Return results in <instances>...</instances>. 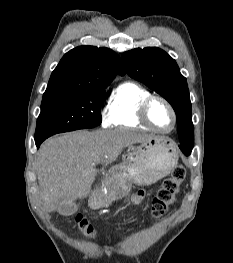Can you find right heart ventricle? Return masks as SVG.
I'll use <instances>...</instances> for the list:
<instances>
[{"label": "right heart ventricle", "mask_w": 233, "mask_h": 263, "mask_svg": "<svg viewBox=\"0 0 233 263\" xmlns=\"http://www.w3.org/2000/svg\"><path fill=\"white\" fill-rule=\"evenodd\" d=\"M150 95L146 88L135 82L122 83L108 103L109 126L147 129L139 120L138 110L141 102Z\"/></svg>", "instance_id": "1"}]
</instances>
